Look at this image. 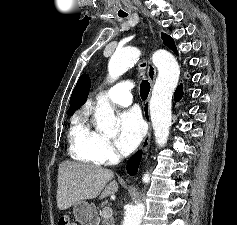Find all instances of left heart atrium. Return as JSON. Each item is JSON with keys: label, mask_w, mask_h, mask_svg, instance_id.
Returning a JSON list of instances; mask_svg holds the SVG:
<instances>
[{"label": "left heart atrium", "mask_w": 237, "mask_h": 225, "mask_svg": "<svg viewBox=\"0 0 237 225\" xmlns=\"http://www.w3.org/2000/svg\"><path fill=\"white\" fill-rule=\"evenodd\" d=\"M143 134L144 124L137 111L129 110L120 115L116 145L122 154H129L134 151Z\"/></svg>", "instance_id": "obj_1"}]
</instances>
